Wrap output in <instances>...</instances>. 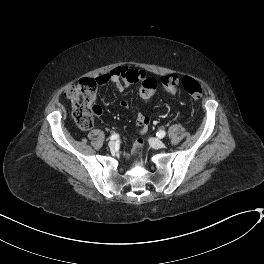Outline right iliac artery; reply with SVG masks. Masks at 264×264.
<instances>
[{"label":"right iliac artery","instance_id":"obj_1","mask_svg":"<svg viewBox=\"0 0 264 264\" xmlns=\"http://www.w3.org/2000/svg\"><path fill=\"white\" fill-rule=\"evenodd\" d=\"M119 137L118 134H113L111 137H110V140H115Z\"/></svg>","mask_w":264,"mask_h":264}]
</instances>
